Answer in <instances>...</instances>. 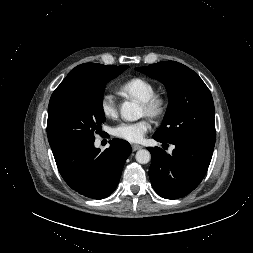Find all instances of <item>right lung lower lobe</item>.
Instances as JSON below:
<instances>
[{
  "instance_id": "1",
  "label": "right lung lower lobe",
  "mask_w": 253,
  "mask_h": 253,
  "mask_svg": "<svg viewBox=\"0 0 253 253\" xmlns=\"http://www.w3.org/2000/svg\"><path fill=\"white\" fill-rule=\"evenodd\" d=\"M109 143L103 152L94 147V139L52 150L61 176L74 191L99 200L116 189L132 149L125 140Z\"/></svg>"
}]
</instances>
